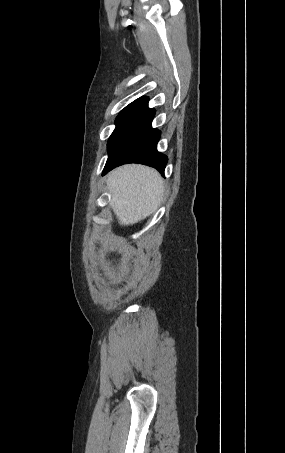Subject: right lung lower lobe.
I'll return each instance as SVG.
<instances>
[{"label": "right lung lower lobe", "mask_w": 285, "mask_h": 453, "mask_svg": "<svg viewBox=\"0 0 285 453\" xmlns=\"http://www.w3.org/2000/svg\"><path fill=\"white\" fill-rule=\"evenodd\" d=\"M148 97L125 107L116 118V128L108 140L109 157L103 175L126 163H141L164 174L168 158L157 151L160 131L151 126L155 110L148 108Z\"/></svg>", "instance_id": "98d812e1"}]
</instances>
